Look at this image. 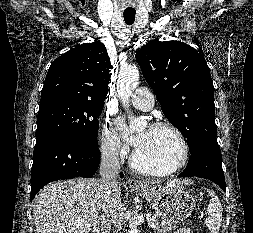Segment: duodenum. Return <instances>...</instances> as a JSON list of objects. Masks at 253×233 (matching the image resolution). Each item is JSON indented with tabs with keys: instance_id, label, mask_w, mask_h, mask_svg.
Instances as JSON below:
<instances>
[{
	"instance_id": "obj_1",
	"label": "duodenum",
	"mask_w": 253,
	"mask_h": 233,
	"mask_svg": "<svg viewBox=\"0 0 253 233\" xmlns=\"http://www.w3.org/2000/svg\"><path fill=\"white\" fill-rule=\"evenodd\" d=\"M108 229V221L107 220H102L98 224V233H106Z\"/></svg>"
}]
</instances>
